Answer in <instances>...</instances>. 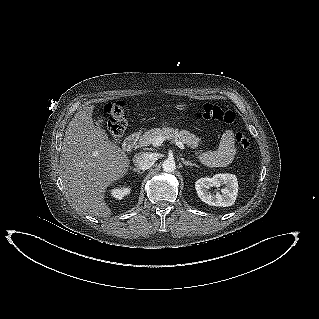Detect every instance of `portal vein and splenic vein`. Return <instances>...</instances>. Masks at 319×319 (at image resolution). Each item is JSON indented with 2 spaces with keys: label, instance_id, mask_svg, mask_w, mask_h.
<instances>
[{
  "label": "portal vein and splenic vein",
  "instance_id": "portal-vein-and-splenic-vein-1",
  "mask_svg": "<svg viewBox=\"0 0 319 319\" xmlns=\"http://www.w3.org/2000/svg\"><path fill=\"white\" fill-rule=\"evenodd\" d=\"M165 140V138L163 137H155L153 140V145L154 146H161V144L163 143V141ZM175 144L180 148V149H184V145L182 142L180 141H175Z\"/></svg>",
  "mask_w": 319,
  "mask_h": 319
}]
</instances>
